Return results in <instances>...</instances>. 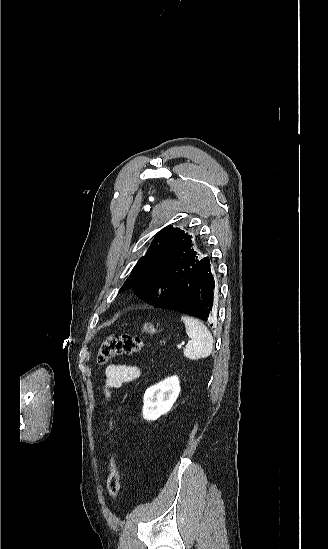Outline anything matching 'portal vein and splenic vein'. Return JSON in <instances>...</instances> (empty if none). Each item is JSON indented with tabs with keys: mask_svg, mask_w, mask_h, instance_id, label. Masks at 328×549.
Listing matches in <instances>:
<instances>
[{
	"mask_svg": "<svg viewBox=\"0 0 328 549\" xmlns=\"http://www.w3.org/2000/svg\"><path fill=\"white\" fill-rule=\"evenodd\" d=\"M178 350H182V347L180 345H177Z\"/></svg>",
	"mask_w": 328,
	"mask_h": 549,
	"instance_id": "portal-vein-and-splenic-vein-1",
	"label": "portal vein and splenic vein"
}]
</instances>
